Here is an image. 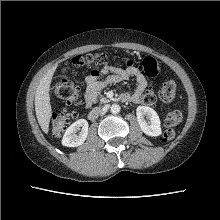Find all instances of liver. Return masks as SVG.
Masks as SVG:
<instances>
[{
  "mask_svg": "<svg viewBox=\"0 0 220 220\" xmlns=\"http://www.w3.org/2000/svg\"><path fill=\"white\" fill-rule=\"evenodd\" d=\"M56 66L48 70V72L41 78L35 92V112L38 123L44 133L49 131V123L52 117V107L50 103V84Z\"/></svg>",
  "mask_w": 220,
  "mask_h": 220,
  "instance_id": "obj_1",
  "label": "liver"
}]
</instances>
